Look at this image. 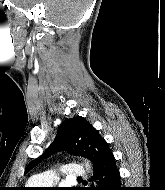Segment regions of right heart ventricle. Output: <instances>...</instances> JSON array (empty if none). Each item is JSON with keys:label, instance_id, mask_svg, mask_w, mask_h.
Listing matches in <instances>:
<instances>
[{"label": "right heart ventricle", "instance_id": "1", "mask_svg": "<svg viewBox=\"0 0 165 190\" xmlns=\"http://www.w3.org/2000/svg\"><path fill=\"white\" fill-rule=\"evenodd\" d=\"M37 184H35L33 181L29 182V186H36Z\"/></svg>", "mask_w": 165, "mask_h": 190}]
</instances>
